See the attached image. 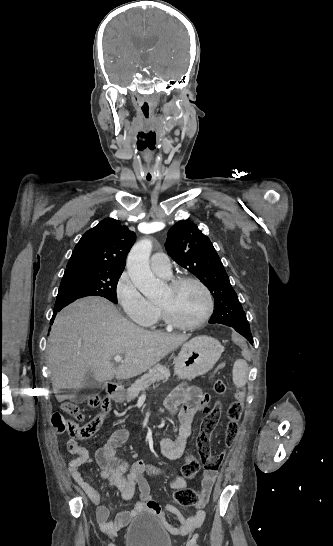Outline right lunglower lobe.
I'll list each match as a JSON object with an SVG mask.
<instances>
[{
    "mask_svg": "<svg viewBox=\"0 0 333 546\" xmlns=\"http://www.w3.org/2000/svg\"><path fill=\"white\" fill-rule=\"evenodd\" d=\"M58 311H60V310H58ZM58 311H57V310L54 311V315H53V317H52V319H51V324L53 323V320H54V318H55V315H56V313H57Z\"/></svg>",
    "mask_w": 333,
    "mask_h": 546,
    "instance_id": "1",
    "label": "right lung lower lobe"
}]
</instances>
